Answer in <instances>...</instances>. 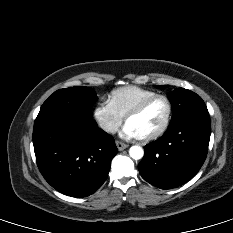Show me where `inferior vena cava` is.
I'll return each mask as SVG.
<instances>
[{"instance_id": "inferior-vena-cava-1", "label": "inferior vena cava", "mask_w": 233, "mask_h": 233, "mask_svg": "<svg viewBox=\"0 0 233 233\" xmlns=\"http://www.w3.org/2000/svg\"><path fill=\"white\" fill-rule=\"evenodd\" d=\"M104 130L110 133H115L117 131V128L114 126H105Z\"/></svg>"}]
</instances>
